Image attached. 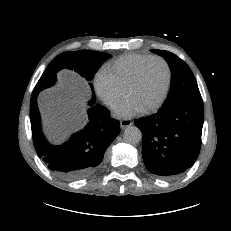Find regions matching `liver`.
Instances as JSON below:
<instances>
[{"mask_svg": "<svg viewBox=\"0 0 231 231\" xmlns=\"http://www.w3.org/2000/svg\"><path fill=\"white\" fill-rule=\"evenodd\" d=\"M73 108H79L81 107V101L77 98L72 99L70 102H68ZM45 109V117L50 121V122H55L56 120H60V121H66V118L61 117L59 115V113L54 110L51 107V104H46L44 106Z\"/></svg>", "mask_w": 231, "mask_h": 231, "instance_id": "obj_1", "label": "liver"}]
</instances>
